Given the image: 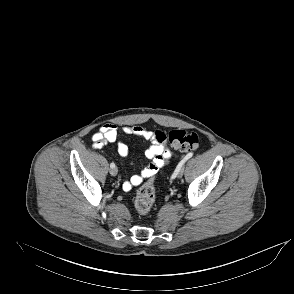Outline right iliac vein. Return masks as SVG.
<instances>
[{"label":"right iliac vein","instance_id":"63e3f726","mask_svg":"<svg viewBox=\"0 0 294 294\" xmlns=\"http://www.w3.org/2000/svg\"><path fill=\"white\" fill-rule=\"evenodd\" d=\"M109 172H110V174H111L112 176H116L117 173H118V169H117L116 167H114V168H111V169L109 170Z\"/></svg>","mask_w":294,"mask_h":294}]
</instances>
